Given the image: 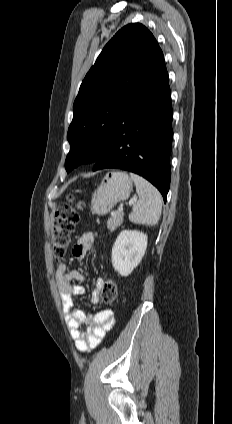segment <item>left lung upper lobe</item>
<instances>
[{
  "label": "left lung upper lobe",
  "mask_w": 232,
  "mask_h": 424,
  "mask_svg": "<svg viewBox=\"0 0 232 424\" xmlns=\"http://www.w3.org/2000/svg\"><path fill=\"white\" fill-rule=\"evenodd\" d=\"M163 58L153 34L140 23L124 26L106 44L73 104L67 172L96 161L126 105Z\"/></svg>",
  "instance_id": "obj_1"
}]
</instances>
